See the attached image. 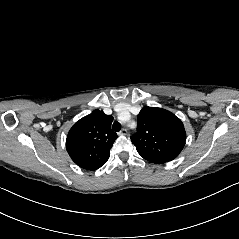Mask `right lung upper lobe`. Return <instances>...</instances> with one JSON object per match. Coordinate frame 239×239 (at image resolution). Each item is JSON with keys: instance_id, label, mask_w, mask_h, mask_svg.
I'll list each match as a JSON object with an SVG mask.
<instances>
[{"instance_id": "1", "label": "right lung upper lobe", "mask_w": 239, "mask_h": 239, "mask_svg": "<svg viewBox=\"0 0 239 239\" xmlns=\"http://www.w3.org/2000/svg\"><path fill=\"white\" fill-rule=\"evenodd\" d=\"M112 121V116L94 110L73 125L67 136L66 149L78 166L95 170L108 160L117 138L111 130Z\"/></svg>"}]
</instances>
